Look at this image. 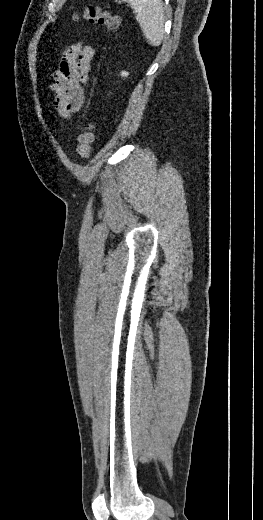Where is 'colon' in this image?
<instances>
[{
	"mask_svg": "<svg viewBox=\"0 0 263 520\" xmlns=\"http://www.w3.org/2000/svg\"><path fill=\"white\" fill-rule=\"evenodd\" d=\"M80 17H83L92 24L104 27L111 34H117L121 29V17L105 11L97 5L89 4L81 13L74 12L72 14V19L74 21L78 20ZM93 141V125L91 123L81 125L77 145V154L81 160H85L90 156Z\"/></svg>",
	"mask_w": 263,
	"mask_h": 520,
	"instance_id": "colon-1",
	"label": "colon"
}]
</instances>
